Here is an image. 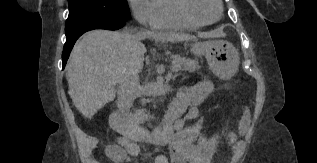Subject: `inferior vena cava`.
<instances>
[{
	"label": "inferior vena cava",
	"mask_w": 317,
	"mask_h": 163,
	"mask_svg": "<svg viewBox=\"0 0 317 163\" xmlns=\"http://www.w3.org/2000/svg\"><path fill=\"white\" fill-rule=\"evenodd\" d=\"M138 86L139 78L134 74H128L119 84L117 106L122 112H129L137 96Z\"/></svg>",
	"instance_id": "inferior-vena-cava-1"
}]
</instances>
